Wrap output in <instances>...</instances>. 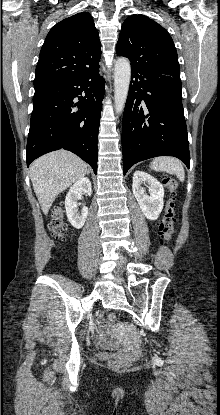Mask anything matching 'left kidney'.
I'll return each mask as SVG.
<instances>
[{"mask_svg":"<svg viewBox=\"0 0 220 415\" xmlns=\"http://www.w3.org/2000/svg\"><path fill=\"white\" fill-rule=\"evenodd\" d=\"M143 183L149 185V195L145 194V190L142 187ZM132 191L145 217L149 220H156L164 205V188L162 184L143 171H135Z\"/></svg>","mask_w":220,"mask_h":415,"instance_id":"1","label":"left kidney"}]
</instances>
